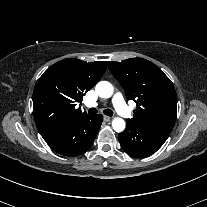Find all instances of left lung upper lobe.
<instances>
[{
  "instance_id": "1",
  "label": "left lung upper lobe",
  "mask_w": 207,
  "mask_h": 207,
  "mask_svg": "<svg viewBox=\"0 0 207 207\" xmlns=\"http://www.w3.org/2000/svg\"><path fill=\"white\" fill-rule=\"evenodd\" d=\"M126 96L137 104L132 119L140 128L169 135L177 113V95L170 79L155 64L142 58L108 62Z\"/></svg>"
}]
</instances>
